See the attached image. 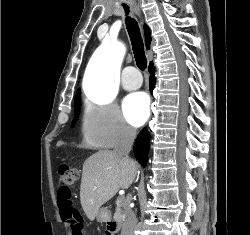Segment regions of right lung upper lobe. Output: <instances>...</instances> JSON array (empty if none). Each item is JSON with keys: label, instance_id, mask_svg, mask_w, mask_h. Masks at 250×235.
<instances>
[{"label": "right lung upper lobe", "instance_id": "right-lung-upper-lobe-1", "mask_svg": "<svg viewBox=\"0 0 250 235\" xmlns=\"http://www.w3.org/2000/svg\"><path fill=\"white\" fill-rule=\"evenodd\" d=\"M144 30H145V43H146V47L149 48L150 47V43H151V35H150V31L147 25L144 26ZM77 94H80V91H77ZM76 94V95H77Z\"/></svg>", "mask_w": 250, "mask_h": 235}]
</instances>
